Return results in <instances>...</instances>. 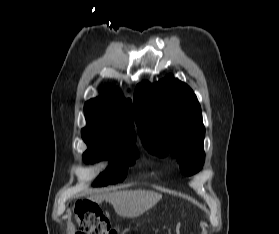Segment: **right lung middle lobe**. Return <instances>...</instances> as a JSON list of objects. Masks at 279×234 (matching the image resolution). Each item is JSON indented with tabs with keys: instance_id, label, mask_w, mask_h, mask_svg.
<instances>
[{
	"instance_id": "right-lung-middle-lobe-1",
	"label": "right lung middle lobe",
	"mask_w": 279,
	"mask_h": 234,
	"mask_svg": "<svg viewBox=\"0 0 279 234\" xmlns=\"http://www.w3.org/2000/svg\"><path fill=\"white\" fill-rule=\"evenodd\" d=\"M82 137L88 146L83 154L86 163L110 159L109 167L98 176L93 186H105L123 181L127 175L128 166L139 157L134 143H106L88 139L83 135Z\"/></svg>"
}]
</instances>
